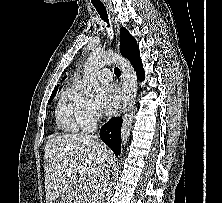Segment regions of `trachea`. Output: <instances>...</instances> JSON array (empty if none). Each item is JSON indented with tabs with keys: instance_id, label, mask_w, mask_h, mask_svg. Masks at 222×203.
I'll return each instance as SVG.
<instances>
[{
	"instance_id": "obj_1",
	"label": "trachea",
	"mask_w": 222,
	"mask_h": 203,
	"mask_svg": "<svg viewBox=\"0 0 222 203\" xmlns=\"http://www.w3.org/2000/svg\"><path fill=\"white\" fill-rule=\"evenodd\" d=\"M93 6L95 7L96 11L98 12V14L102 18V20L107 23V27H110L108 14H107V11H106L104 5H102V4H100V5L99 4H93ZM114 74L117 77H119L121 75L120 69L118 67L114 68Z\"/></svg>"
}]
</instances>
